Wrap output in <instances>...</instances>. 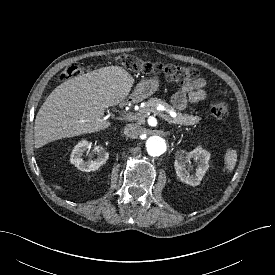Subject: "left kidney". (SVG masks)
<instances>
[{"mask_svg": "<svg viewBox=\"0 0 275 275\" xmlns=\"http://www.w3.org/2000/svg\"><path fill=\"white\" fill-rule=\"evenodd\" d=\"M191 159L198 163L195 174H190V170L187 169ZM209 160L210 153L201 146L196 147L191 152L180 150L177 152L174 162L176 174L182 182L191 186H197L209 168Z\"/></svg>", "mask_w": 275, "mask_h": 275, "instance_id": "left-kidney-1", "label": "left kidney"}]
</instances>
